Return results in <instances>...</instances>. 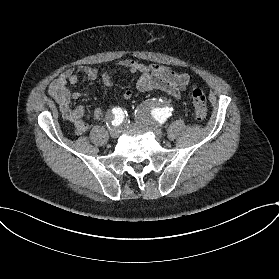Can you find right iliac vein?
I'll list each match as a JSON object with an SVG mask.
<instances>
[{
  "mask_svg": "<svg viewBox=\"0 0 279 279\" xmlns=\"http://www.w3.org/2000/svg\"><path fill=\"white\" fill-rule=\"evenodd\" d=\"M112 118V117H111ZM112 138H117L119 135V131L116 127H112L109 131Z\"/></svg>",
  "mask_w": 279,
  "mask_h": 279,
  "instance_id": "right-iliac-vein-1",
  "label": "right iliac vein"
}]
</instances>
